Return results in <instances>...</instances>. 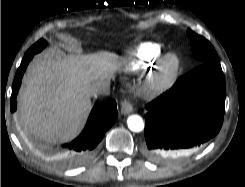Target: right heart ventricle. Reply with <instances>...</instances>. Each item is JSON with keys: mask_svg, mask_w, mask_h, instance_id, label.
<instances>
[{"mask_svg": "<svg viewBox=\"0 0 245 187\" xmlns=\"http://www.w3.org/2000/svg\"><path fill=\"white\" fill-rule=\"evenodd\" d=\"M161 52L160 45L153 42L141 43L133 57L127 63V69L130 72H138L151 66L152 63L158 58Z\"/></svg>", "mask_w": 245, "mask_h": 187, "instance_id": "1", "label": "right heart ventricle"}]
</instances>
